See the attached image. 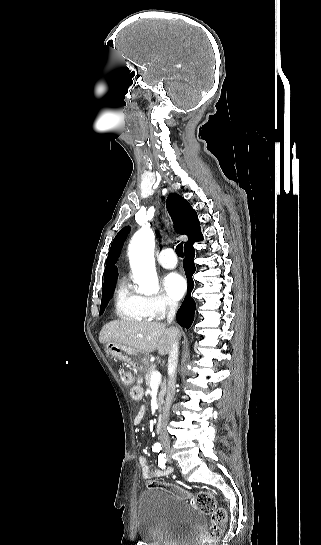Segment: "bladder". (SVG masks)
I'll return each instance as SVG.
<instances>
[{
    "label": "bladder",
    "mask_w": 321,
    "mask_h": 545,
    "mask_svg": "<svg viewBox=\"0 0 321 545\" xmlns=\"http://www.w3.org/2000/svg\"><path fill=\"white\" fill-rule=\"evenodd\" d=\"M205 514L161 488L139 495L137 530L147 545H191L204 530Z\"/></svg>",
    "instance_id": "31cf9c89"
}]
</instances>
